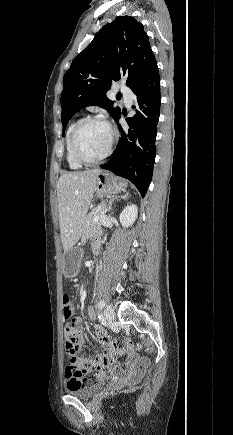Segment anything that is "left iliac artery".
I'll return each mask as SVG.
<instances>
[{"label":"left iliac artery","mask_w":233,"mask_h":435,"mask_svg":"<svg viewBox=\"0 0 233 435\" xmlns=\"http://www.w3.org/2000/svg\"><path fill=\"white\" fill-rule=\"evenodd\" d=\"M104 306H105V301H104V300H100V301L98 302V308H99V309H103Z\"/></svg>","instance_id":"obj_1"}]
</instances>
